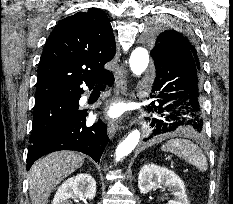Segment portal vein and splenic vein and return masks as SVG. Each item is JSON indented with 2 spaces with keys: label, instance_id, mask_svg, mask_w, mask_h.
I'll return each instance as SVG.
<instances>
[{
  "label": "portal vein and splenic vein",
  "instance_id": "portal-vein-and-splenic-vein-1",
  "mask_svg": "<svg viewBox=\"0 0 233 204\" xmlns=\"http://www.w3.org/2000/svg\"><path fill=\"white\" fill-rule=\"evenodd\" d=\"M186 171H188V168L186 167V169H185Z\"/></svg>",
  "mask_w": 233,
  "mask_h": 204
}]
</instances>
